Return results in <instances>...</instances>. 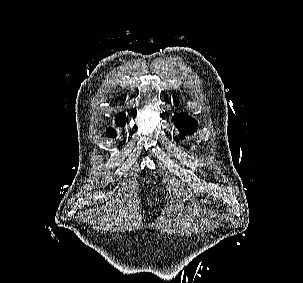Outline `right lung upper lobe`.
<instances>
[{"mask_svg": "<svg viewBox=\"0 0 303 283\" xmlns=\"http://www.w3.org/2000/svg\"><path fill=\"white\" fill-rule=\"evenodd\" d=\"M116 119H117V123L122 126L125 125V123L127 121L126 116L122 113H120ZM108 134H115V133L111 129H109Z\"/></svg>", "mask_w": 303, "mask_h": 283, "instance_id": "obj_1", "label": "right lung upper lobe"}]
</instances>
